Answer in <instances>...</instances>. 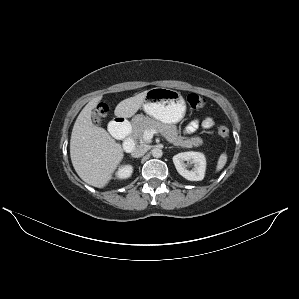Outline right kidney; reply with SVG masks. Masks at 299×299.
<instances>
[{
  "instance_id": "1",
  "label": "right kidney",
  "mask_w": 299,
  "mask_h": 299,
  "mask_svg": "<svg viewBox=\"0 0 299 299\" xmlns=\"http://www.w3.org/2000/svg\"><path fill=\"white\" fill-rule=\"evenodd\" d=\"M132 172H133V167L131 165H125L119 168L117 172V177L119 179H126L131 176Z\"/></svg>"
}]
</instances>
